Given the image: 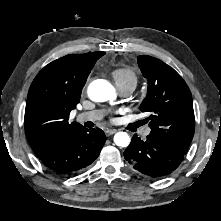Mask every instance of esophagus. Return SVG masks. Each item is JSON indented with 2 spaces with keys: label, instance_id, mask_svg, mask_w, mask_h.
I'll list each match as a JSON object with an SVG mask.
<instances>
[{
  "label": "esophagus",
  "instance_id": "obj_1",
  "mask_svg": "<svg viewBox=\"0 0 221 221\" xmlns=\"http://www.w3.org/2000/svg\"><path fill=\"white\" fill-rule=\"evenodd\" d=\"M114 133H116V129H107V130L105 131L106 136H111V135H113Z\"/></svg>",
  "mask_w": 221,
  "mask_h": 221
}]
</instances>
